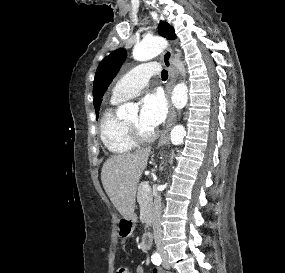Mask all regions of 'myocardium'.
<instances>
[{"mask_svg": "<svg viewBox=\"0 0 285 273\" xmlns=\"http://www.w3.org/2000/svg\"><path fill=\"white\" fill-rule=\"evenodd\" d=\"M123 125L127 133L129 134L130 138L136 143L140 144L149 143L153 141L157 136V133L155 131H153L150 134H145L140 129L129 125L127 122H123Z\"/></svg>", "mask_w": 285, "mask_h": 273, "instance_id": "f54148a6", "label": "myocardium"}]
</instances>
